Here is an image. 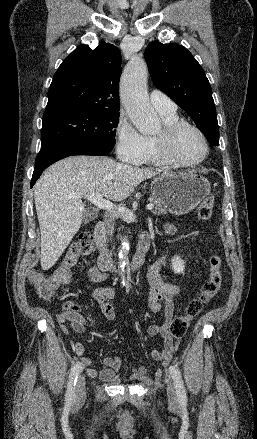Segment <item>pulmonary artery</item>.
Returning <instances> with one entry per match:
<instances>
[{"mask_svg": "<svg viewBox=\"0 0 257 439\" xmlns=\"http://www.w3.org/2000/svg\"><path fill=\"white\" fill-rule=\"evenodd\" d=\"M149 99L155 110L161 114H173L176 112L175 103L160 90H152Z\"/></svg>", "mask_w": 257, "mask_h": 439, "instance_id": "1", "label": "pulmonary artery"}]
</instances>
